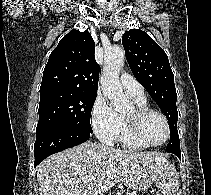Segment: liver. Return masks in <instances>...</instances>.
<instances>
[{"label": "liver", "mask_w": 211, "mask_h": 195, "mask_svg": "<svg viewBox=\"0 0 211 195\" xmlns=\"http://www.w3.org/2000/svg\"><path fill=\"white\" fill-rule=\"evenodd\" d=\"M161 153L120 150L86 142L46 158L37 166L40 195H104L116 183L146 190L160 165ZM137 177L145 182L138 183Z\"/></svg>", "instance_id": "6515ba94"}]
</instances>
